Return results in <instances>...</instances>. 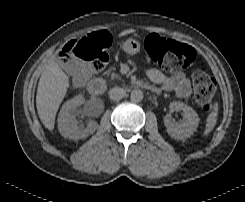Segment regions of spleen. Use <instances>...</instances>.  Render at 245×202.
<instances>
[{
	"instance_id": "obj_1",
	"label": "spleen",
	"mask_w": 245,
	"mask_h": 202,
	"mask_svg": "<svg viewBox=\"0 0 245 202\" xmlns=\"http://www.w3.org/2000/svg\"><path fill=\"white\" fill-rule=\"evenodd\" d=\"M217 113H218V105L214 106L213 111L208 115L206 119V127L204 131V135L206 136L209 132L213 130L217 122Z\"/></svg>"
}]
</instances>
